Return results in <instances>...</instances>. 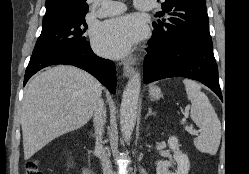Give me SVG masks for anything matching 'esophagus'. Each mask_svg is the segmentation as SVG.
Returning a JSON list of instances; mask_svg holds the SVG:
<instances>
[{"label":"esophagus","mask_w":249,"mask_h":174,"mask_svg":"<svg viewBox=\"0 0 249 174\" xmlns=\"http://www.w3.org/2000/svg\"><path fill=\"white\" fill-rule=\"evenodd\" d=\"M136 64V59L132 58L122 62L123 75L125 77H130L134 73V65Z\"/></svg>","instance_id":"1"}]
</instances>
